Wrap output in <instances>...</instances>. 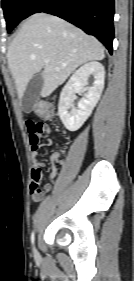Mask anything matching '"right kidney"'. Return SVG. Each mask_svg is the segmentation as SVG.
I'll list each match as a JSON object with an SVG mask.
<instances>
[{"mask_svg":"<svg viewBox=\"0 0 134 281\" xmlns=\"http://www.w3.org/2000/svg\"><path fill=\"white\" fill-rule=\"evenodd\" d=\"M94 76V83L87 87L88 77ZM105 71L101 63L92 61L76 70L60 94L58 115L69 131L78 130L91 115L98 103L104 88ZM82 92L84 97L73 108L75 93ZM72 108L69 112L68 110Z\"/></svg>","mask_w":134,"mask_h":281,"instance_id":"1","label":"right kidney"}]
</instances>
